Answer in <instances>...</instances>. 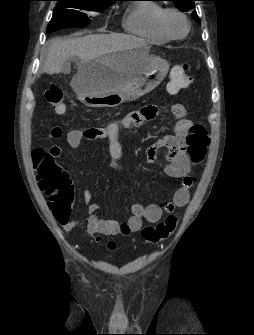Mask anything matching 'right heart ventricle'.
Masks as SVG:
<instances>
[{
  "instance_id": "obj_1",
  "label": "right heart ventricle",
  "mask_w": 254,
  "mask_h": 335,
  "mask_svg": "<svg viewBox=\"0 0 254 335\" xmlns=\"http://www.w3.org/2000/svg\"><path fill=\"white\" fill-rule=\"evenodd\" d=\"M162 9L159 4L151 1L130 4L124 13L122 26L126 32L145 41L166 43L168 39L156 27V18Z\"/></svg>"
}]
</instances>
